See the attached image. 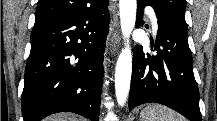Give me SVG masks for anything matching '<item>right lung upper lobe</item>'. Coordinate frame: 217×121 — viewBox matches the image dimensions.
<instances>
[{
    "mask_svg": "<svg viewBox=\"0 0 217 121\" xmlns=\"http://www.w3.org/2000/svg\"><path fill=\"white\" fill-rule=\"evenodd\" d=\"M91 0H39L35 22L74 14L91 5Z\"/></svg>",
    "mask_w": 217,
    "mask_h": 121,
    "instance_id": "obj_1",
    "label": "right lung upper lobe"
}]
</instances>
